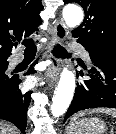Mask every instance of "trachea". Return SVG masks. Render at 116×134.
Returning a JSON list of instances; mask_svg holds the SVG:
<instances>
[{
	"label": "trachea",
	"mask_w": 116,
	"mask_h": 134,
	"mask_svg": "<svg viewBox=\"0 0 116 134\" xmlns=\"http://www.w3.org/2000/svg\"><path fill=\"white\" fill-rule=\"evenodd\" d=\"M22 44L25 46V51H24L25 55H35L36 54L37 46H36L35 42L32 39L23 40ZM53 54L56 57H69V56H71V54L68 53L60 45H56L53 48Z\"/></svg>",
	"instance_id": "obj_1"
}]
</instances>
